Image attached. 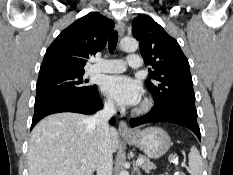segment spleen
<instances>
[{
    "mask_svg": "<svg viewBox=\"0 0 233 175\" xmlns=\"http://www.w3.org/2000/svg\"><path fill=\"white\" fill-rule=\"evenodd\" d=\"M191 175H202V158L198 149L192 146L188 155Z\"/></svg>",
    "mask_w": 233,
    "mask_h": 175,
    "instance_id": "obj_1",
    "label": "spleen"
}]
</instances>
